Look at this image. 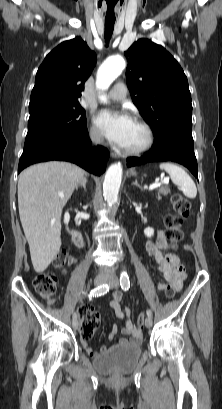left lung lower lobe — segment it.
Masks as SVG:
<instances>
[{
	"label": "left lung lower lobe",
	"instance_id": "1",
	"mask_svg": "<svg viewBox=\"0 0 222 409\" xmlns=\"http://www.w3.org/2000/svg\"><path fill=\"white\" fill-rule=\"evenodd\" d=\"M174 161L187 167L198 179V167L191 131L168 129L155 136L151 150L144 156L127 159V166L147 162Z\"/></svg>",
	"mask_w": 222,
	"mask_h": 409
}]
</instances>
